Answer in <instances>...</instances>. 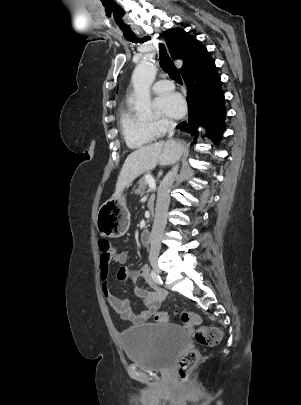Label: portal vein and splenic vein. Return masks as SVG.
Instances as JSON below:
<instances>
[{
    "label": "portal vein and splenic vein",
    "mask_w": 301,
    "mask_h": 405,
    "mask_svg": "<svg viewBox=\"0 0 301 405\" xmlns=\"http://www.w3.org/2000/svg\"><path fill=\"white\" fill-rule=\"evenodd\" d=\"M146 180L149 186L148 191H152L156 189V183L155 180L151 176H146Z\"/></svg>",
    "instance_id": "18ae733b"
}]
</instances>
